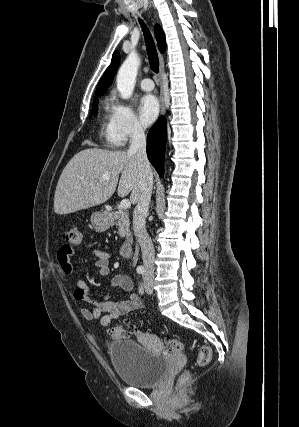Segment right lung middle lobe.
I'll return each mask as SVG.
<instances>
[{"label":"right lung middle lobe","instance_id":"right-lung-middle-lobe-1","mask_svg":"<svg viewBox=\"0 0 299 427\" xmlns=\"http://www.w3.org/2000/svg\"><path fill=\"white\" fill-rule=\"evenodd\" d=\"M97 104H98V98H95L94 99V102H93V109H92V112L93 113H96L97 112Z\"/></svg>","mask_w":299,"mask_h":427}]
</instances>
